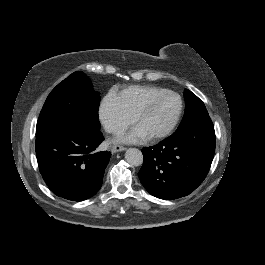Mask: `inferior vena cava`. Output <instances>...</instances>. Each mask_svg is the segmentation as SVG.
Returning a JSON list of instances; mask_svg holds the SVG:
<instances>
[{
  "instance_id": "obj_1",
  "label": "inferior vena cava",
  "mask_w": 265,
  "mask_h": 265,
  "mask_svg": "<svg viewBox=\"0 0 265 265\" xmlns=\"http://www.w3.org/2000/svg\"><path fill=\"white\" fill-rule=\"evenodd\" d=\"M104 128L105 131L108 133H119L123 131L122 127L115 123H106L104 125Z\"/></svg>"
}]
</instances>
